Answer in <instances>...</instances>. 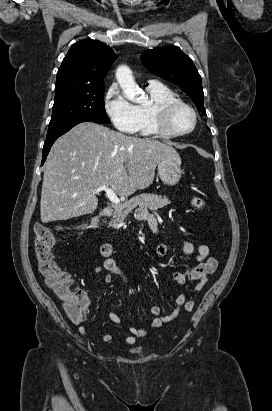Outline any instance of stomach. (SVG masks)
I'll return each instance as SVG.
<instances>
[{
    "label": "stomach",
    "instance_id": "1",
    "mask_svg": "<svg viewBox=\"0 0 272 411\" xmlns=\"http://www.w3.org/2000/svg\"><path fill=\"white\" fill-rule=\"evenodd\" d=\"M181 163L177 160L166 158L157 163V174L167 185H176L181 178Z\"/></svg>",
    "mask_w": 272,
    "mask_h": 411
}]
</instances>
